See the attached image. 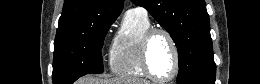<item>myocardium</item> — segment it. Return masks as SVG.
Instances as JSON below:
<instances>
[{
  "label": "myocardium",
  "instance_id": "myocardium-1",
  "mask_svg": "<svg viewBox=\"0 0 260 84\" xmlns=\"http://www.w3.org/2000/svg\"><path fill=\"white\" fill-rule=\"evenodd\" d=\"M157 34H162L169 40L174 53V70L172 74L167 78H160L156 76L151 70L150 63H149V51H150L151 41ZM141 64L146 76L157 83H169L172 82L177 77L180 71V64H181L180 52L175 38L168 30L159 27H151L145 32L141 40Z\"/></svg>",
  "mask_w": 260,
  "mask_h": 84
}]
</instances>
